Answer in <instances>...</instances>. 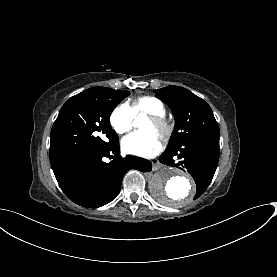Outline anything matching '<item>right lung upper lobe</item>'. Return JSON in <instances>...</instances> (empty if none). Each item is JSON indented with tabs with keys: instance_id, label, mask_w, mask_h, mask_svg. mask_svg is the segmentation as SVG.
I'll list each match as a JSON object with an SVG mask.
<instances>
[{
	"instance_id": "cb5924a9",
	"label": "right lung upper lobe",
	"mask_w": 277,
	"mask_h": 277,
	"mask_svg": "<svg viewBox=\"0 0 277 277\" xmlns=\"http://www.w3.org/2000/svg\"><path fill=\"white\" fill-rule=\"evenodd\" d=\"M101 88H106V87H94V88H90V89L97 90V89H101Z\"/></svg>"
}]
</instances>
